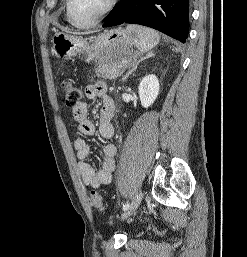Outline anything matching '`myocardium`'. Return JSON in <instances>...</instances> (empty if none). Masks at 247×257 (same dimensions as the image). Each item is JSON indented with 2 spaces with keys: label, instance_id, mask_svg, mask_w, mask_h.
<instances>
[{
  "label": "myocardium",
  "instance_id": "1",
  "mask_svg": "<svg viewBox=\"0 0 247 257\" xmlns=\"http://www.w3.org/2000/svg\"><path fill=\"white\" fill-rule=\"evenodd\" d=\"M119 0H110L106 8L92 21L88 23H80L76 21L73 17L72 10H71V0H65L66 6V14L69 21L78 28H90L94 25L98 24L102 19H104L117 5Z\"/></svg>",
  "mask_w": 247,
  "mask_h": 257
}]
</instances>
